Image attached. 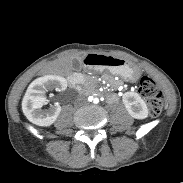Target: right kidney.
Masks as SVG:
<instances>
[{
	"label": "right kidney",
	"mask_w": 183,
	"mask_h": 183,
	"mask_svg": "<svg viewBox=\"0 0 183 183\" xmlns=\"http://www.w3.org/2000/svg\"><path fill=\"white\" fill-rule=\"evenodd\" d=\"M56 88L63 91L67 88V81L58 75H48L34 80L28 87L22 101V110L27 119L38 126L52 125L61 112L59 105H52L44 110L46 104L45 93Z\"/></svg>",
	"instance_id": "obj_1"
}]
</instances>
